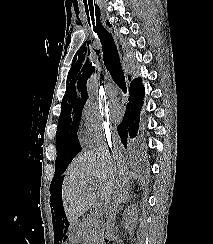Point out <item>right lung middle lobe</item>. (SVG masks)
I'll use <instances>...</instances> for the list:
<instances>
[{"label": "right lung middle lobe", "mask_w": 213, "mask_h": 244, "mask_svg": "<svg viewBox=\"0 0 213 244\" xmlns=\"http://www.w3.org/2000/svg\"><path fill=\"white\" fill-rule=\"evenodd\" d=\"M84 106L71 108L61 112L57 128V158L55 176L52 183H57L56 175L63 173L72 159L80 152L77 138L79 120Z\"/></svg>", "instance_id": "1"}]
</instances>
